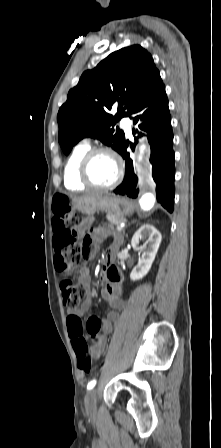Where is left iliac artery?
Masks as SVG:
<instances>
[{
    "mask_svg": "<svg viewBox=\"0 0 221 448\" xmlns=\"http://www.w3.org/2000/svg\"><path fill=\"white\" fill-rule=\"evenodd\" d=\"M95 385H96V380H92L91 382L88 383V385H87V389L90 390V389H92Z\"/></svg>",
    "mask_w": 221,
    "mask_h": 448,
    "instance_id": "obj_1",
    "label": "left iliac artery"
}]
</instances>
